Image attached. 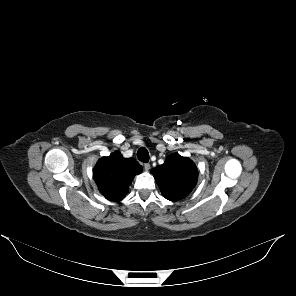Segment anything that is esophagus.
I'll list each match as a JSON object with an SVG mask.
<instances>
[{
	"label": "esophagus",
	"mask_w": 296,
	"mask_h": 296,
	"mask_svg": "<svg viewBox=\"0 0 296 296\" xmlns=\"http://www.w3.org/2000/svg\"><path fill=\"white\" fill-rule=\"evenodd\" d=\"M144 169H145L146 171H148V170L150 169V164H149V163H145V164H144Z\"/></svg>",
	"instance_id": "1"
}]
</instances>
